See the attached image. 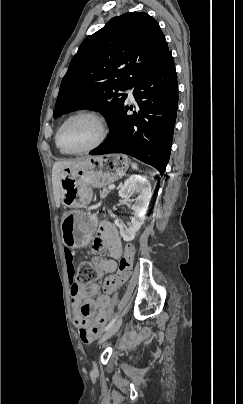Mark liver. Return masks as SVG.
I'll return each mask as SVG.
<instances>
[{"label":"liver","instance_id":"6515ba94","mask_svg":"<svg viewBox=\"0 0 243 404\" xmlns=\"http://www.w3.org/2000/svg\"><path fill=\"white\" fill-rule=\"evenodd\" d=\"M83 158H78L75 162H55L52 168V184H53V194L54 200L56 204V208H60L61 204V188H60V174L63 168H67V166H77L79 162H81Z\"/></svg>","mask_w":243,"mask_h":404}]
</instances>
